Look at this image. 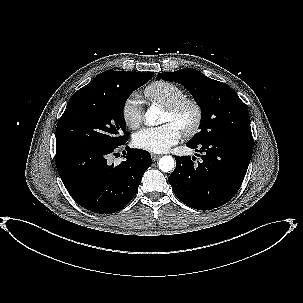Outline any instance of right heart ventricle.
<instances>
[{
  "mask_svg": "<svg viewBox=\"0 0 303 303\" xmlns=\"http://www.w3.org/2000/svg\"><path fill=\"white\" fill-rule=\"evenodd\" d=\"M145 96L153 103L167 107L186 97L185 91L169 81H156L144 90Z\"/></svg>",
  "mask_w": 303,
  "mask_h": 303,
  "instance_id": "right-heart-ventricle-1",
  "label": "right heart ventricle"
}]
</instances>
